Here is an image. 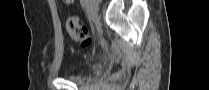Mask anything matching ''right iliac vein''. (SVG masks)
<instances>
[{
	"mask_svg": "<svg viewBox=\"0 0 209 90\" xmlns=\"http://www.w3.org/2000/svg\"><path fill=\"white\" fill-rule=\"evenodd\" d=\"M88 8H89L91 16L94 19H97L98 18V4H97V2L94 0L88 1Z\"/></svg>",
	"mask_w": 209,
	"mask_h": 90,
	"instance_id": "1",
	"label": "right iliac vein"
}]
</instances>
